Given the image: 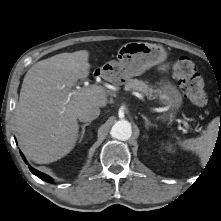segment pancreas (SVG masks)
Wrapping results in <instances>:
<instances>
[{"label": "pancreas", "mask_w": 221, "mask_h": 221, "mask_svg": "<svg viewBox=\"0 0 221 221\" xmlns=\"http://www.w3.org/2000/svg\"><path fill=\"white\" fill-rule=\"evenodd\" d=\"M126 91L135 90L139 91L142 95L147 96L148 99H154V90L147 82L138 79H129L124 88Z\"/></svg>", "instance_id": "obj_1"}]
</instances>
